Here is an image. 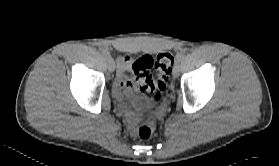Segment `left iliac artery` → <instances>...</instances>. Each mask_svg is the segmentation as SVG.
<instances>
[{"label":"left iliac artery","mask_w":279,"mask_h":166,"mask_svg":"<svg viewBox=\"0 0 279 166\" xmlns=\"http://www.w3.org/2000/svg\"><path fill=\"white\" fill-rule=\"evenodd\" d=\"M184 58V53H178L176 56V63H179Z\"/></svg>","instance_id":"44dca946"}]
</instances>
